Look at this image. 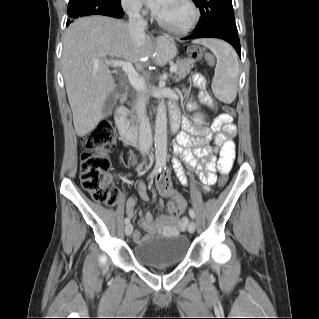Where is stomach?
<instances>
[{"instance_id":"1","label":"stomach","mask_w":319,"mask_h":319,"mask_svg":"<svg viewBox=\"0 0 319 319\" xmlns=\"http://www.w3.org/2000/svg\"><path fill=\"white\" fill-rule=\"evenodd\" d=\"M157 51L162 64L173 59L177 54V48L173 42L167 38H161L157 43Z\"/></svg>"}]
</instances>
